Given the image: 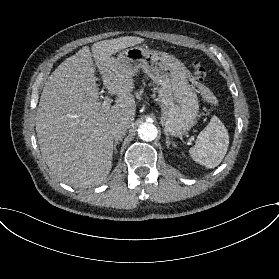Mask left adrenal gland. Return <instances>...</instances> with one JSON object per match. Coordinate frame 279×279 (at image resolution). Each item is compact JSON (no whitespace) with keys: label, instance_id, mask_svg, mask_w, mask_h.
Returning a JSON list of instances; mask_svg holds the SVG:
<instances>
[{"label":"left adrenal gland","instance_id":"left-adrenal-gland-1","mask_svg":"<svg viewBox=\"0 0 279 279\" xmlns=\"http://www.w3.org/2000/svg\"><path fill=\"white\" fill-rule=\"evenodd\" d=\"M170 144H172L173 147H176V146H177V145L175 144V142H171V141L169 140V136H166V146H167V148H169Z\"/></svg>","mask_w":279,"mask_h":279}]
</instances>
